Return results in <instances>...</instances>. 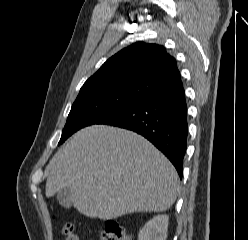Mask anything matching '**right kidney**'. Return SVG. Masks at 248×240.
<instances>
[{
	"label": "right kidney",
	"mask_w": 248,
	"mask_h": 240,
	"mask_svg": "<svg viewBox=\"0 0 248 240\" xmlns=\"http://www.w3.org/2000/svg\"><path fill=\"white\" fill-rule=\"evenodd\" d=\"M168 215H157L148 221L138 234V240H166Z\"/></svg>",
	"instance_id": "obj_1"
}]
</instances>
